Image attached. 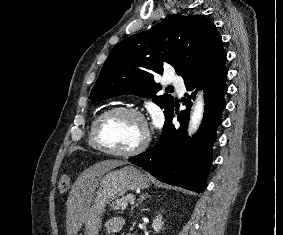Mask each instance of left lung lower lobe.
Here are the masks:
<instances>
[{
	"label": "left lung lower lobe",
	"instance_id": "left-lung-lower-lobe-1",
	"mask_svg": "<svg viewBox=\"0 0 283 235\" xmlns=\"http://www.w3.org/2000/svg\"><path fill=\"white\" fill-rule=\"evenodd\" d=\"M227 70L225 61L201 75L185 82L191 94H185L186 110L178 114L180 127L172 124L174 108L166 118L158 142L146 152L129 158L128 161L142 167L158 180L186 188L198 193L204 192L206 178L212 162L216 130L221 124V114L226 107L224 95ZM198 87L204 88L205 111L200 128L192 137L186 136L191 100ZM177 113V112H176Z\"/></svg>",
	"mask_w": 283,
	"mask_h": 235
}]
</instances>
